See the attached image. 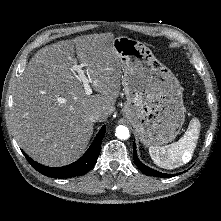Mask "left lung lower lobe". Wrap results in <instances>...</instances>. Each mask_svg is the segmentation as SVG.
Returning <instances> with one entry per match:
<instances>
[{
    "instance_id": "0a47b994",
    "label": "left lung lower lobe",
    "mask_w": 221,
    "mask_h": 221,
    "mask_svg": "<svg viewBox=\"0 0 221 221\" xmlns=\"http://www.w3.org/2000/svg\"><path fill=\"white\" fill-rule=\"evenodd\" d=\"M133 156H134V162L135 164L137 165V167L144 173L146 174L147 176H157V177H171V176H175V175H178V174H165V173H161V172H158L152 168H149L148 166L144 165L139 159H138V156H137V153H136V145L134 144L133 145ZM180 174V173H179Z\"/></svg>"
}]
</instances>
